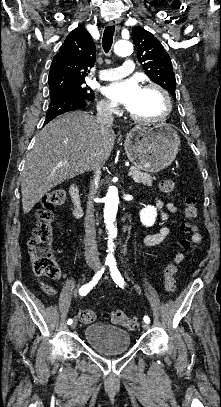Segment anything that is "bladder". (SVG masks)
<instances>
[{
  "mask_svg": "<svg viewBox=\"0 0 221 407\" xmlns=\"http://www.w3.org/2000/svg\"><path fill=\"white\" fill-rule=\"evenodd\" d=\"M87 344L107 356L124 352L130 345L131 335L125 330L107 323H93L84 331Z\"/></svg>",
  "mask_w": 221,
  "mask_h": 407,
  "instance_id": "obj_1",
  "label": "bladder"
}]
</instances>
